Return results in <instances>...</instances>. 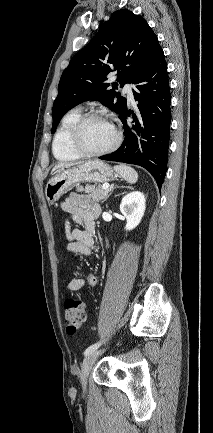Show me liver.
<instances>
[{
	"instance_id": "1",
	"label": "liver",
	"mask_w": 213,
	"mask_h": 433,
	"mask_svg": "<svg viewBox=\"0 0 213 433\" xmlns=\"http://www.w3.org/2000/svg\"><path fill=\"white\" fill-rule=\"evenodd\" d=\"M72 165H74V164H71V163H60V164L56 165V166L53 168V171H55V170H57V169H63V168H66V167H70V166H72Z\"/></svg>"
}]
</instances>
